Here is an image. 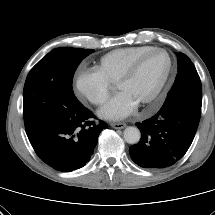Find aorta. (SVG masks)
Returning a JSON list of instances; mask_svg holds the SVG:
<instances>
[{
	"mask_svg": "<svg viewBox=\"0 0 215 215\" xmlns=\"http://www.w3.org/2000/svg\"><path fill=\"white\" fill-rule=\"evenodd\" d=\"M123 135L124 140L129 144H137L141 138L140 130L133 126L125 128Z\"/></svg>",
	"mask_w": 215,
	"mask_h": 215,
	"instance_id": "762f6f07",
	"label": "aorta"
}]
</instances>
